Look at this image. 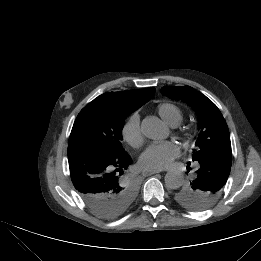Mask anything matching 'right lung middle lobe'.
Returning <instances> with one entry per match:
<instances>
[{"label":"right lung middle lobe","instance_id":"right-lung-middle-lobe-1","mask_svg":"<svg viewBox=\"0 0 261 261\" xmlns=\"http://www.w3.org/2000/svg\"><path fill=\"white\" fill-rule=\"evenodd\" d=\"M130 112L97 97L86 105L78 114L68 145L88 143L104 154L125 156L123 149L122 128ZM93 202H85L97 216L111 219L124 213L134 201L137 193L136 182L125 176L120 185L101 191Z\"/></svg>","mask_w":261,"mask_h":261}]
</instances>
